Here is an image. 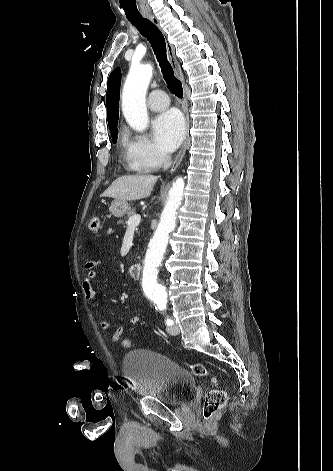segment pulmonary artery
<instances>
[{"label":"pulmonary artery","instance_id":"obj_1","mask_svg":"<svg viewBox=\"0 0 333 471\" xmlns=\"http://www.w3.org/2000/svg\"><path fill=\"white\" fill-rule=\"evenodd\" d=\"M169 98L162 90H154L149 94L147 105L153 111H161L169 106Z\"/></svg>","mask_w":333,"mask_h":471}]
</instances>
